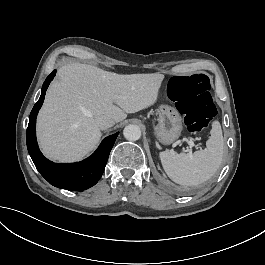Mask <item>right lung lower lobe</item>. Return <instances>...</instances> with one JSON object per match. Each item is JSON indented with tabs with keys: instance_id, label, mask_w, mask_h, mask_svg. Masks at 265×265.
<instances>
[{
	"instance_id": "obj_1",
	"label": "right lung lower lobe",
	"mask_w": 265,
	"mask_h": 265,
	"mask_svg": "<svg viewBox=\"0 0 265 265\" xmlns=\"http://www.w3.org/2000/svg\"><path fill=\"white\" fill-rule=\"evenodd\" d=\"M55 74L56 70L46 78L42 86L41 96L30 113L26 135L28 152L37 170L53 186L71 191L86 190L95 185L102 176L118 133L106 137L99 148L89 158L81 162L57 164L46 159L40 152L36 141L35 125L36 116L44 101L46 90Z\"/></svg>"
}]
</instances>
